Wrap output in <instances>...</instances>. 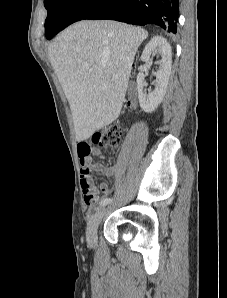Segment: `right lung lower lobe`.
Segmentation results:
<instances>
[{
    "mask_svg": "<svg viewBox=\"0 0 227 298\" xmlns=\"http://www.w3.org/2000/svg\"><path fill=\"white\" fill-rule=\"evenodd\" d=\"M178 0H102L83 19H112L133 25L156 24L177 32Z\"/></svg>",
    "mask_w": 227,
    "mask_h": 298,
    "instance_id": "right-lung-lower-lobe-1",
    "label": "right lung lower lobe"
}]
</instances>
